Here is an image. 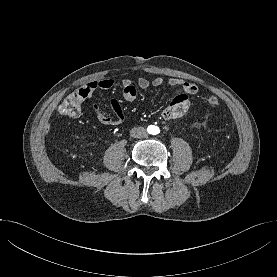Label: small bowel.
<instances>
[{"label": "small bowel", "mask_w": 277, "mask_h": 277, "mask_svg": "<svg viewBox=\"0 0 277 277\" xmlns=\"http://www.w3.org/2000/svg\"><path fill=\"white\" fill-rule=\"evenodd\" d=\"M165 84L162 77H154L149 80L145 77H139L136 81L137 87L140 89H148L150 87H161ZM167 84L172 87H180L183 93L175 96L170 103L162 111V117L167 121H173L181 118L186 114L190 107V96L198 92V85L193 81H186L180 78H170ZM114 86V80L111 78H103L92 81L81 87L79 90L85 94V98L90 97L97 89L107 90ZM122 96L127 102H132L136 99L137 89L134 83L129 79L122 81ZM113 114L107 115L102 112L97 103L93 104L95 116L97 120L106 125H117L124 119L122 108L116 99L110 101Z\"/></svg>", "instance_id": "c3829d8e"}]
</instances>
